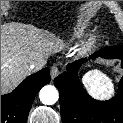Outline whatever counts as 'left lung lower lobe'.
<instances>
[{"label":"left lung lower lobe","instance_id":"1","mask_svg":"<svg viewBox=\"0 0 123 123\" xmlns=\"http://www.w3.org/2000/svg\"><path fill=\"white\" fill-rule=\"evenodd\" d=\"M121 59L123 68V45L106 47L92 59ZM87 59L68 64L67 72L54 79L59 90L60 109L63 123H123V77L119 83L118 94L108 101H97L83 89L78 70Z\"/></svg>","mask_w":123,"mask_h":123}]
</instances>
